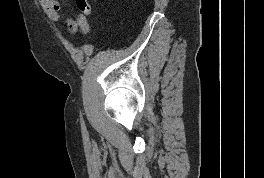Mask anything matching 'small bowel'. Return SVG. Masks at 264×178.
<instances>
[{
    "mask_svg": "<svg viewBox=\"0 0 264 178\" xmlns=\"http://www.w3.org/2000/svg\"><path fill=\"white\" fill-rule=\"evenodd\" d=\"M41 7L51 21L57 22L61 19V7L57 0H38ZM66 27L69 33L75 34L88 25L87 19L79 14L77 18H65Z\"/></svg>",
    "mask_w": 264,
    "mask_h": 178,
    "instance_id": "c3829d8e",
    "label": "small bowel"
}]
</instances>
